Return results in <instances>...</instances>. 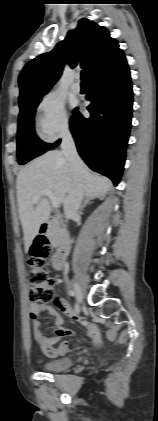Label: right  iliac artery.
I'll list each match as a JSON object with an SVG mask.
<instances>
[{"label":"right iliac artery","mask_w":158,"mask_h":421,"mask_svg":"<svg viewBox=\"0 0 158 421\" xmlns=\"http://www.w3.org/2000/svg\"><path fill=\"white\" fill-rule=\"evenodd\" d=\"M69 295L70 296H75L76 294H75V291L74 290H69Z\"/></svg>","instance_id":"obj_1"}]
</instances>
